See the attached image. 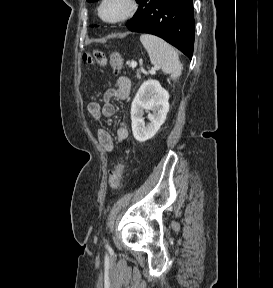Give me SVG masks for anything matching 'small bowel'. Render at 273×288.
<instances>
[{"instance_id": "small-bowel-1", "label": "small bowel", "mask_w": 273, "mask_h": 288, "mask_svg": "<svg viewBox=\"0 0 273 288\" xmlns=\"http://www.w3.org/2000/svg\"><path fill=\"white\" fill-rule=\"evenodd\" d=\"M131 83L126 77H119L115 82L107 85L102 103L92 101L88 104V112L96 120L101 117H111L115 114L116 108L113 103L114 99H125L130 93ZM98 142L107 151H112L114 142L110 132L101 128L98 130ZM128 137V128L125 123H121L117 128V140L123 142Z\"/></svg>"}]
</instances>
